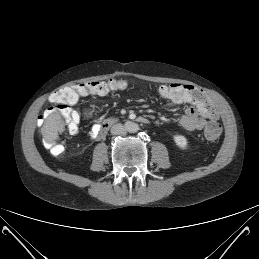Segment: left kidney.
Instances as JSON below:
<instances>
[{
  "instance_id": "1",
  "label": "left kidney",
  "mask_w": 259,
  "mask_h": 259,
  "mask_svg": "<svg viewBox=\"0 0 259 259\" xmlns=\"http://www.w3.org/2000/svg\"><path fill=\"white\" fill-rule=\"evenodd\" d=\"M173 139H174V142L176 143V145L178 146V147H180L181 149H186L187 148V139L184 137V136H182V135H175L174 137H173Z\"/></svg>"
}]
</instances>
